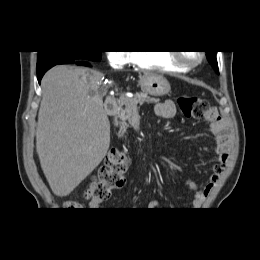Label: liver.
I'll use <instances>...</instances> for the list:
<instances>
[{"mask_svg": "<svg viewBox=\"0 0 260 260\" xmlns=\"http://www.w3.org/2000/svg\"><path fill=\"white\" fill-rule=\"evenodd\" d=\"M103 77V73L89 68L59 65L42 79L36 151L56 196L69 195L109 149L110 122L103 108Z\"/></svg>", "mask_w": 260, "mask_h": 260, "instance_id": "liver-1", "label": "liver"}]
</instances>
